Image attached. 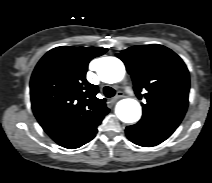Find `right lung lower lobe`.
<instances>
[{"label":"right lung lower lobe","instance_id":"98d812e1","mask_svg":"<svg viewBox=\"0 0 212 183\" xmlns=\"http://www.w3.org/2000/svg\"><path fill=\"white\" fill-rule=\"evenodd\" d=\"M96 133H97V127L95 129H93L91 132H89L82 139H80L78 141H75V142H72V143H69V144L61 145V146L65 147V148H68V149L78 148V147L84 145L85 143L89 142L92 138H94Z\"/></svg>","mask_w":212,"mask_h":183}]
</instances>
